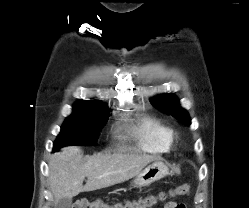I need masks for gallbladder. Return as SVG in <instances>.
<instances>
[{
	"mask_svg": "<svg viewBox=\"0 0 249 208\" xmlns=\"http://www.w3.org/2000/svg\"><path fill=\"white\" fill-rule=\"evenodd\" d=\"M72 204L71 198H61L56 204L55 208H70Z\"/></svg>",
	"mask_w": 249,
	"mask_h": 208,
	"instance_id": "bac80fb5",
	"label": "gallbladder"
}]
</instances>
